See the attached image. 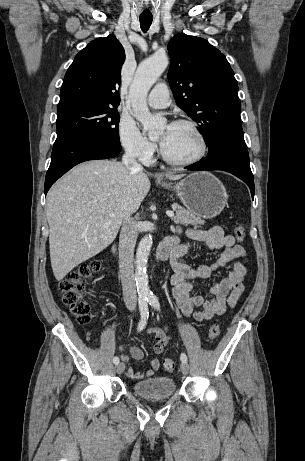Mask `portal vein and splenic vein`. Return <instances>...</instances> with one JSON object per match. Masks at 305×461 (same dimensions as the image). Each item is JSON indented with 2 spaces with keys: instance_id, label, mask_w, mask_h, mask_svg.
<instances>
[{
  "instance_id": "18ae733b",
  "label": "portal vein and splenic vein",
  "mask_w": 305,
  "mask_h": 461,
  "mask_svg": "<svg viewBox=\"0 0 305 461\" xmlns=\"http://www.w3.org/2000/svg\"><path fill=\"white\" fill-rule=\"evenodd\" d=\"M166 215H167L168 217H170V218H174V217H175V215H174V213H173L172 211H166ZM110 217H114V215L111 214Z\"/></svg>"
}]
</instances>
